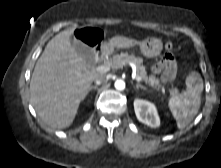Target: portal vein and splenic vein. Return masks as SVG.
Masks as SVG:
<instances>
[{"instance_id":"portal-vein-and-splenic-vein-1","label":"portal vein and splenic vein","mask_w":221,"mask_h":168,"mask_svg":"<svg viewBox=\"0 0 221 168\" xmlns=\"http://www.w3.org/2000/svg\"><path fill=\"white\" fill-rule=\"evenodd\" d=\"M95 70L100 73H106V72L110 71V67L107 65H99L95 68ZM132 76L134 79H136L137 82L141 81V78L139 76H137L136 73H133Z\"/></svg>"}]
</instances>
